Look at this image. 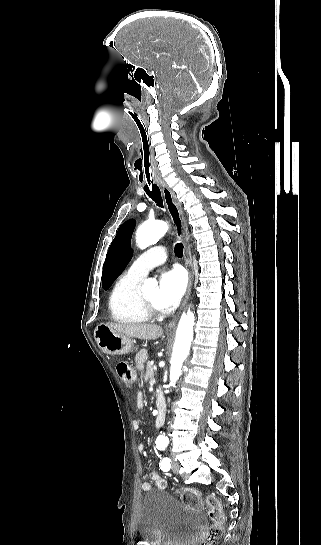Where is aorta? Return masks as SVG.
Masks as SVG:
<instances>
[{
	"label": "aorta",
	"mask_w": 321,
	"mask_h": 545,
	"mask_svg": "<svg viewBox=\"0 0 321 545\" xmlns=\"http://www.w3.org/2000/svg\"><path fill=\"white\" fill-rule=\"evenodd\" d=\"M168 230V225L164 221L144 222L139 226L136 232V243L140 249H145L153 245L162 238ZM156 282L153 279H148L144 282L143 288L154 286ZM194 314L190 310L183 313L177 327L173 354L171 358L170 368V383L169 387H175L176 381L181 376L182 364L190 351L191 342L193 339ZM158 444H167L168 438L165 435H160L157 438Z\"/></svg>",
	"instance_id": "762f6f07"
}]
</instances>
